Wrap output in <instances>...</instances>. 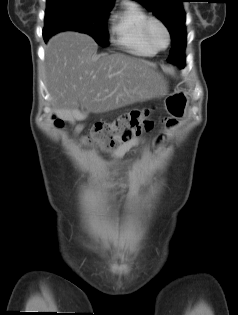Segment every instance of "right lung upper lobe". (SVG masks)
<instances>
[{"label":"right lung upper lobe","mask_w":238,"mask_h":315,"mask_svg":"<svg viewBox=\"0 0 238 315\" xmlns=\"http://www.w3.org/2000/svg\"><path fill=\"white\" fill-rule=\"evenodd\" d=\"M91 1L103 4V5H108V6H112L114 2V0H91Z\"/></svg>","instance_id":"obj_1"}]
</instances>
